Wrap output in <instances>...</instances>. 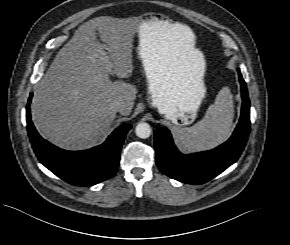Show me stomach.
Listing matches in <instances>:
<instances>
[{
    "label": "stomach",
    "mask_w": 290,
    "mask_h": 245,
    "mask_svg": "<svg viewBox=\"0 0 290 245\" xmlns=\"http://www.w3.org/2000/svg\"><path fill=\"white\" fill-rule=\"evenodd\" d=\"M166 23L158 21L154 15L142 20L138 52L146 75L150 105L182 128L194 122L205 97V60L203 54L197 52L194 66L188 70L184 68L161 37L162 26Z\"/></svg>",
    "instance_id": "stomach-1"
}]
</instances>
